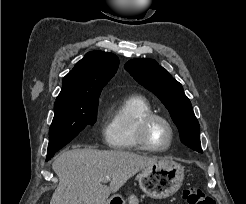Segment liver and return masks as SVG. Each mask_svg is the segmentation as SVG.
<instances>
[{
    "mask_svg": "<svg viewBox=\"0 0 246 204\" xmlns=\"http://www.w3.org/2000/svg\"><path fill=\"white\" fill-rule=\"evenodd\" d=\"M158 162L128 151L72 149L63 152L52 164L59 184L50 204H105L140 170ZM110 178L109 186L103 184Z\"/></svg>",
    "mask_w": 246,
    "mask_h": 204,
    "instance_id": "6515ba94",
    "label": "liver"
}]
</instances>
